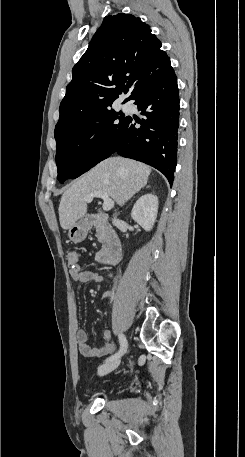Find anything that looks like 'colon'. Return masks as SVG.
<instances>
[{
	"mask_svg": "<svg viewBox=\"0 0 245 457\" xmlns=\"http://www.w3.org/2000/svg\"><path fill=\"white\" fill-rule=\"evenodd\" d=\"M78 254L77 252H69L68 253V262L71 265L72 269H80L78 264Z\"/></svg>",
	"mask_w": 245,
	"mask_h": 457,
	"instance_id": "1",
	"label": "colon"
}]
</instances>
